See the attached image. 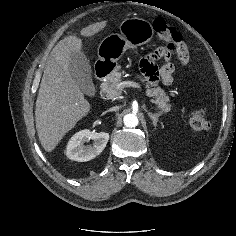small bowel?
Wrapping results in <instances>:
<instances>
[{"label":"small bowel","instance_id":"1","mask_svg":"<svg viewBox=\"0 0 236 236\" xmlns=\"http://www.w3.org/2000/svg\"><path fill=\"white\" fill-rule=\"evenodd\" d=\"M177 53L181 64L185 65L189 59L187 48H183ZM157 60L164 61L159 69L155 65ZM141 69L151 83L161 80L163 83L169 84L172 82L175 66L171 62V53L164 48H159L141 61Z\"/></svg>","mask_w":236,"mask_h":236}]
</instances>
